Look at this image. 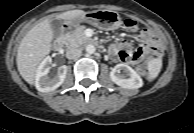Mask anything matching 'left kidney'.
Listing matches in <instances>:
<instances>
[{
	"mask_svg": "<svg viewBox=\"0 0 194 133\" xmlns=\"http://www.w3.org/2000/svg\"><path fill=\"white\" fill-rule=\"evenodd\" d=\"M120 70H123L125 75L120 74ZM110 78L115 84L125 89H137L143 86L139 74L125 63L116 65L110 72Z\"/></svg>",
	"mask_w": 194,
	"mask_h": 133,
	"instance_id": "1",
	"label": "left kidney"
}]
</instances>
